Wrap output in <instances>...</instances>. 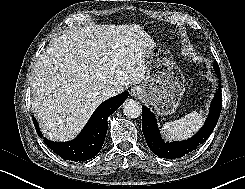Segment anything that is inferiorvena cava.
Masks as SVG:
<instances>
[{
    "mask_svg": "<svg viewBox=\"0 0 245 189\" xmlns=\"http://www.w3.org/2000/svg\"><path fill=\"white\" fill-rule=\"evenodd\" d=\"M117 94V89L114 88V87H108L105 91H104V95L107 97V98H110L114 95Z\"/></svg>",
    "mask_w": 245,
    "mask_h": 189,
    "instance_id": "inferior-vena-cava-1",
    "label": "inferior vena cava"
}]
</instances>
